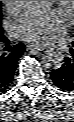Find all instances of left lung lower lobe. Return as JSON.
I'll return each instance as SVG.
<instances>
[{
  "mask_svg": "<svg viewBox=\"0 0 74 122\" xmlns=\"http://www.w3.org/2000/svg\"><path fill=\"white\" fill-rule=\"evenodd\" d=\"M70 53L59 69L50 72L54 84L63 91H74V41Z\"/></svg>",
  "mask_w": 74,
  "mask_h": 122,
  "instance_id": "0a47b994",
  "label": "left lung lower lobe"
}]
</instances>
